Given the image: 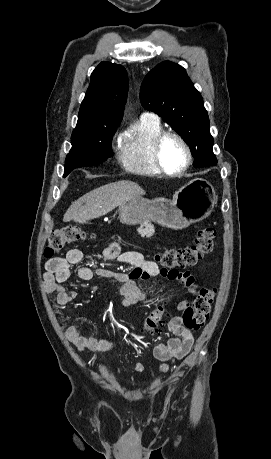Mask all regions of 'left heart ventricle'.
I'll use <instances>...</instances> for the list:
<instances>
[{
	"instance_id": "left-heart-ventricle-1",
	"label": "left heart ventricle",
	"mask_w": 271,
	"mask_h": 459,
	"mask_svg": "<svg viewBox=\"0 0 271 459\" xmlns=\"http://www.w3.org/2000/svg\"><path fill=\"white\" fill-rule=\"evenodd\" d=\"M161 155L163 162L171 170L184 168L188 160L185 146L175 136H169L164 139L161 146Z\"/></svg>"
}]
</instances>
